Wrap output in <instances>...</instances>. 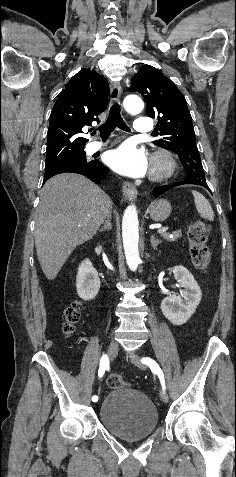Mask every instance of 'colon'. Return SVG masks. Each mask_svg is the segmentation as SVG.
<instances>
[{"label":"colon","mask_w":236,"mask_h":477,"mask_svg":"<svg viewBox=\"0 0 236 477\" xmlns=\"http://www.w3.org/2000/svg\"><path fill=\"white\" fill-rule=\"evenodd\" d=\"M209 226L203 221L194 222L188 230L189 253L192 263L197 269H206L210 262V248L208 246ZM62 329L66 335L73 333L75 325L80 320L81 303L74 302L64 309ZM110 388H123L126 381L119 374H111L107 378Z\"/></svg>","instance_id":"1"}]
</instances>
